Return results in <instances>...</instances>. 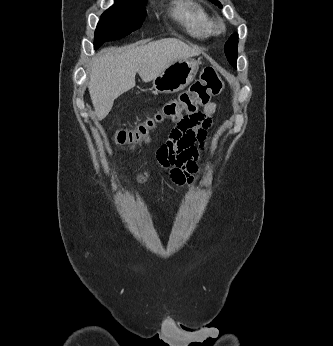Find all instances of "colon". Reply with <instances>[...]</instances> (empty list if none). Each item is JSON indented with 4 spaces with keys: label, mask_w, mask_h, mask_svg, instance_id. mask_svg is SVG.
Returning <instances> with one entry per match:
<instances>
[{
    "label": "colon",
    "mask_w": 333,
    "mask_h": 346,
    "mask_svg": "<svg viewBox=\"0 0 333 346\" xmlns=\"http://www.w3.org/2000/svg\"><path fill=\"white\" fill-rule=\"evenodd\" d=\"M222 89V81L212 66L204 69L199 80L194 82L189 91L181 93L176 99L166 103L158 112L134 129L120 130L115 133L118 144L137 147L146 144L156 126L166 120L181 121L187 117H200V106L208 104L211 97Z\"/></svg>",
    "instance_id": "5ec220e1"
}]
</instances>
